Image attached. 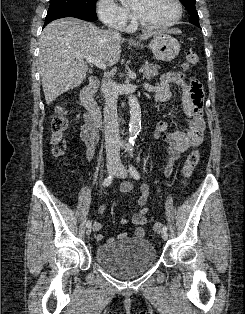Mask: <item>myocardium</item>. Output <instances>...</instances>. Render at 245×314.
Returning a JSON list of instances; mask_svg holds the SVG:
<instances>
[{"label":"myocardium","mask_w":245,"mask_h":314,"mask_svg":"<svg viewBox=\"0 0 245 314\" xmlns=\"http://www.w3.org/2000/svg\"><path fill=\"white\" fill-rule=\"evenodd\" d=\"M174 3H175L176 8H177V14L174 17V19H172L171 21H168V22H164V23H150V22L144 21L132 9V18H133L134 25L142 27V28H146V29H160V28L171 27V26L177 24L183 16V6H182V3L180 0H174Z\"/></svg>","instance_id":"obj_1"}]
</instances>
